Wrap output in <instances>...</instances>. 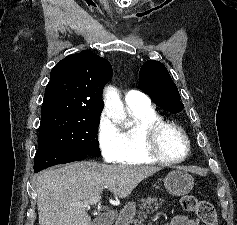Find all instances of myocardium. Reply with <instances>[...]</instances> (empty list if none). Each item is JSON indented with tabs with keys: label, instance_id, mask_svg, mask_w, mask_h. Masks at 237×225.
Listing matches in <instances>:
<instances>
[{
	"label": "myocardium",
	"instance_id": "myocardium-1",
	"mask_svg": "<svg viewBox=\"0 0 237 225\" xmlns=\"http://www.w3.org/2000/svg\"><path fill=\"white\" fill-rule=\"evenodd\" d=\"M170 129L178 132L185 142L186 151L182 157H168L164 154L161 148V136L166 130ZM142 137L147 154L158 162L164 164H176L184 161L190 154V139L184 129L175 123L163 120L156 121L143 129Z\"/></svg>",
	"mask_w": 237,
	"mask_h": 225
}]
</instances>
